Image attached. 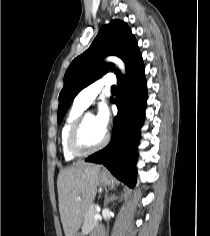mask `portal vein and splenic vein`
<instances>
[{"label": "portal vein and splenic vein", "mask_w": 210, "mask_h": 236, "mask_svg": "<svg viewBox=\"0 0 210 236\" xmlns=\"http://www.w3.org/2000/svg\"><path fill=\"white\" fill-rule=\"evenodd\" d=\"M94 219L101 220L102 216L99 213H97V214L94 215Z\"/></svg>", "instance_id": "portal-vein-and-splenic-vein-1"}]
</instances>
